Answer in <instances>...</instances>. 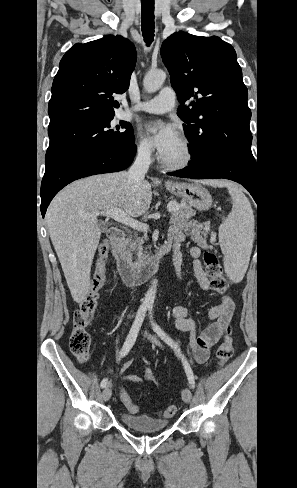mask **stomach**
<instances>
[{"instance_id":"stomach-1","label":"stomach","mask_w":297,"mask_h":488,"mask_svg":"<svg viewBox=\"0 0 297 488\" xmlns=\"http://www.w3.org/2000/svg\"><path fill=\"white\" fill-rule=\"evenodd\" d=\"M165 187L169 192L182 198L189 206L197 210L205 211L212 206V196L200 184L172 182L166 183Z\"/></svg>"}]
</instances>
